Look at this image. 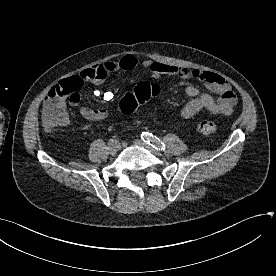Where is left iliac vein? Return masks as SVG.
Returning <instances> with one entry per match:
<instances>
[{"label": "left iliac vein", "instance_id": "obj_1", "mask_svg": "<svg viewBox=\"0 0 276 276\" xmlns=\"http://www.w3.org/2000/svg\"><path fill=\"white\" fill-rule=\"evenodd\" d=\"M134 144H136L140 147L146 148L147 150H149L154 155H159L160 154L156 149H154L152 146L148 145L147 143H145L144 141H142L140 139L134 140Z\"/></svg>", "mask_w": 276, "mask_h": 276}]
</instances>
